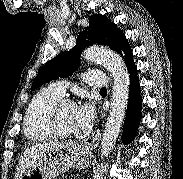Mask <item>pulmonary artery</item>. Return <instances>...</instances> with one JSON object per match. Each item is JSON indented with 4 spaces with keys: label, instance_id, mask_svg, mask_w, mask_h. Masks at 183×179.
<instances>
[{
    "label": "pulmonary artery",
    "instance_id": "obj_1",
    "mask_svg": "<svg viewBox=\"0 0 183 179\" xmlns=\"http://www.w3.org/2000/svg\"><path fill=\"white\" fill-rule=\"evenodd\" d=\"M84 80L88 85L92 87L102 88L107 85L106 76L97 70L87 72L84 75ZM50 88L59 95L63 96L67 88V82L64 80L55 81L50 85Z\"/></svg>",
    "mask_w": 183,
    "mask_h": 179
}]
</instances>
